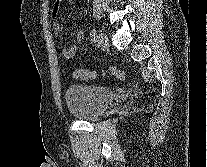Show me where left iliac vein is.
I'll return each instance as SVG.
<instances>
[{
	"mask_svg": "<svg viewBox=\"0 0 207 167\" xmlns=\"http://www.w3.org/2000/svg\"><path fill=\"white\" fill-rule=\"evenodd\" d=\"M98 44L104 50L108 49L109 47V40L103 32H100L98 35Z\"/></svg>",
	"mask_w": 207,
	"mask_h": 167,
	"instance_id": "1",
	"label": "left iliac vein"
}]
</instances>
